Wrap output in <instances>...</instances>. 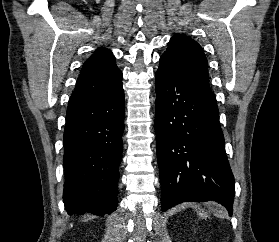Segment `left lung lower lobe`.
Wrapping results in <instances>:
<instances>
[{
	"instance_id": "left-lung-lower-lobe-1",
	"label": "left lung lower lobe",
	"mask_w": 279,
	"mask_h": 242,
	"mask_svg": "<svg viewBox=\"0 0 279 242\" xmlns=\"http://www.w3.org/2000/svg\"><path fill=\"white\" fill-rule=\"evenodd\" d=\"M155 77L161 210L215 200L232 215L235 182L215 95L167 56H161Z\"/></svg>"
}]
</instances>
